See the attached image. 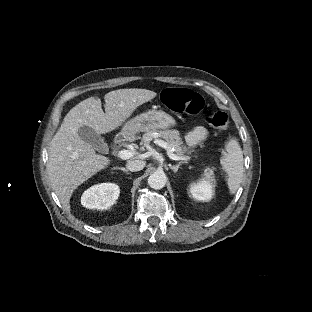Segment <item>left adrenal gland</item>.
I'll list each match as a JSON object with an SVG mask.
<instances>
[{
	"mask_svg": "<svg viewBox=\"0 0 312 312\" xmlns=\"http://www.w3.org/2000/svg\"><path fill=\"white\" fill-rule=\"evenodd\" d=\"M182 163H179L177 166H172L169 164V168L173 170L174 173H177Z\"/></svg>",
	"mask_w": 312,
	"mask_h": 312,
	"instance_id": "obj_1",
	"label": "left adrenal gland"
}]
</instances>
